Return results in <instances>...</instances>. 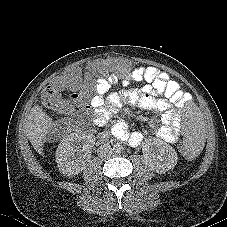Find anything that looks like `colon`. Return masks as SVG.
I'll return each mask as SVG.
<instances>
[{
	"mask_svg": "<svg viewBox=\"0 0 227 227\" xmlns=\"http://www.w3.org/2000/svg\"><path fill=\"white\" fill-rule=\"evenodd\" d=\"M91 71L95 74L104 73L108 70L111 73H120L122 71L129 73L133 70L134 65L131 61L124 62L120 60H111L106 62L104 60H96L90 65ZM83 84L81 78V71L74 69L69 73L62 75L46 85L41 92V101L49 109H52L60 114L72 115L74 112L73 105L63 97L62 92L66 89H74ZM69 121H63L53 126L51 134L59 135L63 132L65 127L69 126ZM178 156L186 163H191L195 160V155L185 149L182 142L177 141L174 144Z\"/></svg>",
	"mask_w": 227,
	"mask_h": 227,
	"instance_id": "5ec220e1",
	"label": "colon"
}]
</instances>
